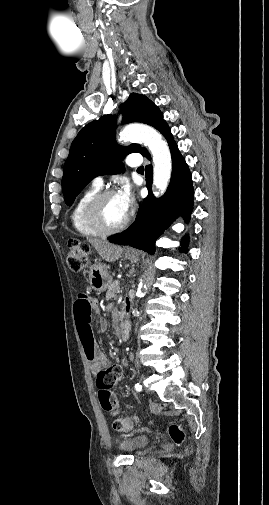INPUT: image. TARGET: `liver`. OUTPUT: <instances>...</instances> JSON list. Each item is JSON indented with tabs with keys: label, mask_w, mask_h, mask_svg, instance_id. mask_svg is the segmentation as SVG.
<instances>
[{
	"label": "liver",
	"mask_w": 269,
	"mask_h": 505,
	"mask_svg": "<svg viewBox=\"0 0 269 505\" xmlns=\"http://www.w3.org/2000/svg\"><path fill=\"white\" fill-rule=\"evenodd\" d=\"M88 241L96 249L102 259L107 262L118 260L123 253V249L120 246L111 244L107 241L100 239H89Z\"/></svg>",
	"instance_id": "6515ba94"
}]
</instances>
